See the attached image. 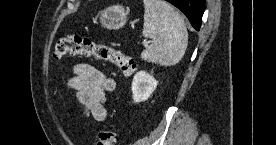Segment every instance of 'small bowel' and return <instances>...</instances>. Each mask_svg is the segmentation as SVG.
I'll return each mask as SVG.
<instances>
[{
  "mask_svg": "<svg viewBox=\"0 0 276 145\" xmlns=\"http://www.w3.org/2000/svg\"><path fill=\"white\" fill-rule=\"evenodd\" d=\"M72 71L68 87L75 92L84 115L103 121L107 114L106 94L115 90V80L88 63L76 64Z\"/></svg>",
  "mask_w": 276,
  "mask_h": 145,
  "instance_id": "1",
  "label": "small bowel"
}]
</instances>
